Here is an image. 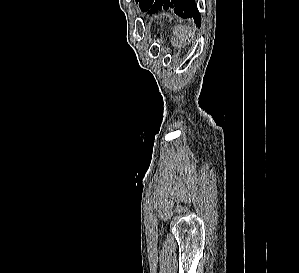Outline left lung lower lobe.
Masks as SVG:
<instances>
[{
  "label": "left lung lower lobe",
  "mask_w": 299,
  "mask_h": 273,
  "mask_svg": "<svg viewBox=\"0 0 299 273\" xmlns=\"http://www.w3.org/2000/svg\"><path fill=\"white\" fill-rule=\"evenodd\" d=\"M162 8L171 9L182 18L193 17L196 25H201V16L195 0H147L141 10L152 14Z\"/></svg>",
  "instance_id": "0a47b994"
}]
</instances>
